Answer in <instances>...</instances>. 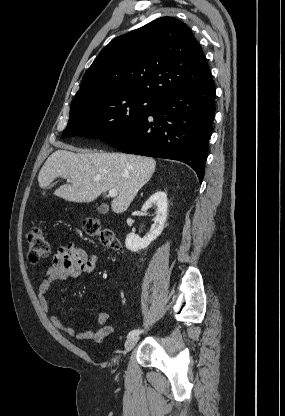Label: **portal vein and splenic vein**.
<instances>
[{
    "label": "portal vein and splenic vein",
    "instance_id": "1",
    "mask_svg": "<svg viewBox=\"0 0 285 416\" xmlns=\"http://www.w3.org/2000/svg\"><path fill=\"white\" fill-rule=\"evenodd\" d=\"M109 196H111V198H116V196H118L117 190H109Z\"/></svg>",
    "mask_w": 285,
    "mask_h": 416
}]
</instances>
